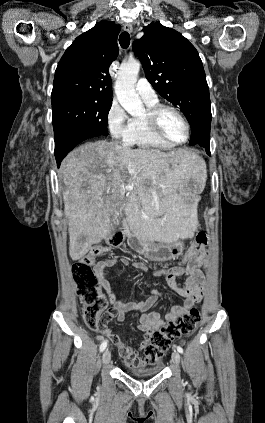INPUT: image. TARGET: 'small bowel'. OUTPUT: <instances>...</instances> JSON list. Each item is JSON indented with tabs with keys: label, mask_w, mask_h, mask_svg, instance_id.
<instances>
[{
	"label": "small bowel",
	"mask_w": 265,
	"mask_h": 423,
	"mask_svg": "<svg viewBox=\"0 0 265 423\" xmlns=\"http://www.w3.org/2000/svg\"><path fill=\"white\" fill-rule=\"evenodd\" d=\"M119 262L128 266L127 258H120ZM117 263L115 258H110L95 265L96 275L105 290L108 300L112 305L113 317L117 322L123 323L126 321V315L130 312H138L140 314V321L137 326L138 330L145 335L143 341L138 347H132L126 341L116 334L106 335L118 348L120 356L124 359L127 366H135L142 362L144 357H141L138 352L144 349L147 344L148 337L166 323L175 320L178 316L188 312L192 309L195 303L199 302L205 292V270L208 267L207 254L205 250L200 252L192 261H187L185 266H172L169 268H162L154 271L155 276L163 275L166 279L167 285L171 290L183 298V304L174 306L170 311L161 316L157 312H148L154 303L162 296L158 290H152L150 296L139 303L125 302L118 299L111 291L110 283L107 279V269L112 268ZM132 267L136 270L145 271L147 266L142 262L132 263ZM184 278L183 285H179L177 279ZM104 336L100 335L99 339Z\"/></svg>",
	"instance_id": "small-bowel-1"
}]
</instances>
